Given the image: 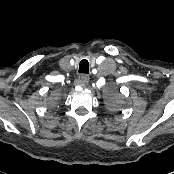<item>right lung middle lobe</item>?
<instances>
[{"label":"right lung middle lobe","mask_w":174,"mask_h":174,"mask_svg":"<svg viewBox=\"0 0 174 174\" xmlns=\"http://www.w3.org/2000/svg\"><path fill=\"white\" fill-rule=\"evenodd\" d=\"M55 103H56V100H52V101H51V104L54 105Z\"/></svg>","instance_id":"right-lung-middle-lobe-1"}]
</instances>
